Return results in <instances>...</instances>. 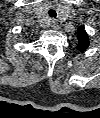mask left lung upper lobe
Listing matches in <instances>:
<instances>
[{"mask_svg": "<svg viewBox=\"0 0 100 118\" xmlns=\"http://www.w3.org/2000/svg\"><path fill=\"white\" fill-rule=\"evenodd\" d=\"M78 31V46L77 49L80 51H85L86 48L89 46V39H88V35L85 32L83 27H79L77 29Z\"/></svg>", "mask_w": 100, "mask_h": 118, "instance_id": "1", "label": "left lung upper lobe"}]
</instances>
